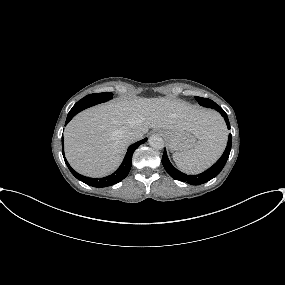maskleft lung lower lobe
<instances>
[{
  "mask_svg": "<svg viewBox=\"0 0 285 285\" xmlns=\"http://www.w3.org/2000/svg\"><path fill=\"white\" fill-rule=\"evenodd\" d=\"M216 111H218L224 117L228 128H230L229 120H228V117H227V114L225 113V111L220 106L216 108ZM231 143H232V141H231V134H230L229 138H228V143H227L226 149H225L223 155L221 156V158L212 167H210L208 170H206L203 173H200L198 175H187V174L182 173L179 170H177L170 163L168 156H167V153H166V150H164V153H163L162 164H163L165 170L168 172V174L172 178H174L176 180L183 181V182H187L191 185H200V184L208 182L209 180L216 177L221 172V170L225 166L227 159L229 157V154L231 151Z\"/></svg>",
  "mask_w": 285,
  "mask_h": 285,
  "instance_id": "obj_1",
  "label": "left lung lower lobe"
}]
</instances>
